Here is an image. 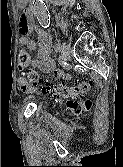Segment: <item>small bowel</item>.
<instances>
[{
	"mask_svg": "<svg viewBox=\"0 0 123 167\" xmlns=\"http://www.w3.org/2000/svg\"><path fill=\"white\" fill-rule=\"evenodd\" d=\"M20 27V42L27 47L28 50L34 51L36 43L32 41L30 33L34 29L32 17L28 13H23L19 21ZM38 34V51L37 57L32 61V66L41 69L44 72L50 73L55 71V63L50 58L51 38L42 29L35 27ZM19 85L22 91L31 92L33 87L28 84L24 79L19 80Z\"/></svg>",
	"mask_w": 123,
	"mask_h": 167,
	"instance_id": "small-bowel-1",
	"label": "small bowel"
}]
</instances>
